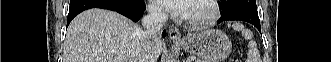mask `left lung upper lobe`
I'll list each match as a JSON object with an SVG mask.
<instances>
[{"instance_id": "left-lung-upper-lobe-1", "label": "left lung upper lobe", "mask_w": 331, "mask_h": 62, "mask_svg": "<svg viewBox=\"0 0 331 62\" xmlns=\"http://www.w3.org/2000/svg\"><path fill=\"white\" fill-rule=\"evenodd\" d=\"M219 6L223 8L224 13L235 9H246L257 12L256 0H220Z\"/></svg>"}]
</instances>
